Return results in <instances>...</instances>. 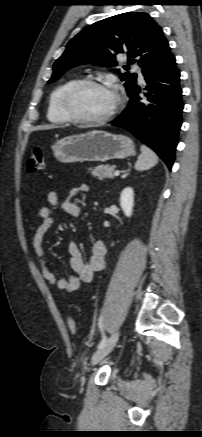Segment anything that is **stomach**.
Here are the masks:
<instances>
[{"label": "stomach", "mask_w": 202, "mask_h": 437, "mask_svg": "<svg viewBox=\"0 0 202 437\" xmlns=\"http://www.w3.org/2000/svg\"><path fill=\"white\" fill-rule=\"evenodd\" d=\"M52 149L55 158L63 163L106 162L125 159L135 153L134 143L129 137L102 130L65 137L58 140Z\"/></svg>", "instance_id": "obj_1"}]
</instances>
